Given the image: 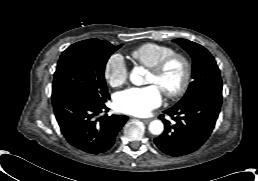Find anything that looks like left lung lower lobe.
<instances>
[{
	"instance_id": "left-lung-lower-lobe-1",
	"label": "left lung lower lobe",
	"mask_w": 258,
	"mask_h": 181,
	"mask_svg": "<svg viewBox=\"0 0 258 181\" xmlns=\"http://www.w3.org/2000/svg\"><path fill=\"white\" fill-rule=\"evenodd\" d=\"M222 104V96L205 95L187 104L175 105L164 111L174 124L160 115L165 130L154 139L165 154L177 157L196 151L210 136Z\"/></svg>"
}]
</instances>
